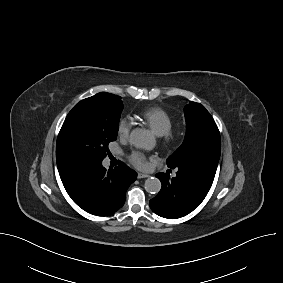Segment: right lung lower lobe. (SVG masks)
<instances>
[{
  "label": "right lung lower lobe",
  "mask_w": 283,
  "mask_h": 283,
  "mask_svg": "<svg viewBox=\"0 0 283 283\" xmlns=\"http://www.w3.org/2000/svg\"><path fill=\"white\" fill-rule=\"evenodd\" d=\"M62 183L71 199L88 213L113 214L126 199V191L137 173L120 162L108 171L102 161H77L59 170Z\"/></svg>",
  "instance_id": "98d812e1"
}]
</instances>
